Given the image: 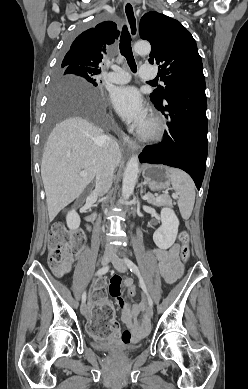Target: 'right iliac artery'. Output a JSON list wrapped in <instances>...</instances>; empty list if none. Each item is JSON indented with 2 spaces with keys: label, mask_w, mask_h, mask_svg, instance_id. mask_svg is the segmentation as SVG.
<instances>
[{
  "label": "right iliac artery",
  "mask_w": 248,
  "mask_h": 389,
  "mask_svg": "<svg viewBox=\"0 0 248 389\" xmlns=\"http://www.w3.org/2000/svg\"><path fill=\"white\" fill-rule=\"evenodd\" d=\"M109 270V266H105L101 269H99L95 275L97 276H100V275H103L105 274L107 271ZM82 302L85 303L86 302V292L83 293L82 295Z\"/></svg>",
  "instance_id": "obj_1"
}]
</instances>
